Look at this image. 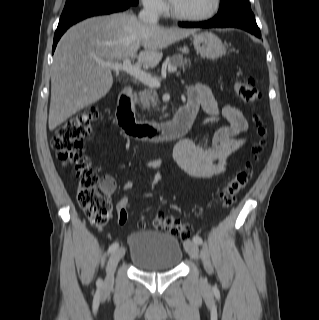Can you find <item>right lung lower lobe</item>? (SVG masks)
Returning a JSON list of instances; mask_svg holds the SVG:
<instances>
[{
  "label": "right lung lower lobe",
  "mask_w": 319,
  "mask_h": 320,
  "mask_svg": "<svg viewBox=\"0 0 319 320\" xmlns=\"http://www.w3.org/2000/svg\"><path fill=\"white\" fill-rule=\"evenodd\" d=\"M135 5L128 2H108V3H101L97 5L90 6L88 8L82 9L78 12H75L63 19H60L57 30L54 35L53 41V50L54 52L57 42L63 35V33L73 24L91 17L95 15H103V14H110L113 12H119L126 10L128 7Z\"/></svg>",
  "instance_id": "98d812e1"
}]
</instances>
